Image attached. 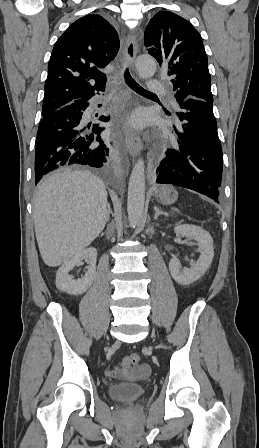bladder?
Returning a JSON list of instances; mask_svg holds the SVG:
<instances>
[{
    "label": "bladder",
    "mask_w": 259,
    "mask_h": 448,
    "mask_svg": "<svg viewBox=\"0 0 259 448\" xmlns=\"http://www.w3.org/2000/svg\"><path fill=\"white\" fill-rule=\"evenodd\" d=\"M145 390L142 384L118 383L108 387V394L117 401H131L140 398Z\"/></svg>",
    "instance_id": "obj_1"
}]
</instances>
